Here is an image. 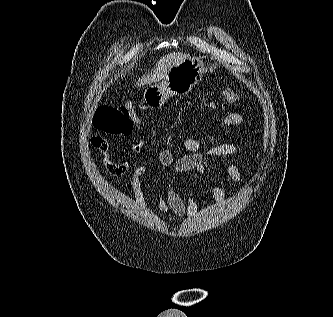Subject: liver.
<instances>
[{
  "label": "liver",
  "instance_id": "6515ba94",
  "mask_svg": "<svg viewBox=\"0 0 333 317\" xmlns=\"http://www.w3.org/2000/svg\"><path fill=\"white\" fill-rule=\"evenodd\" d=\"M189 58V55L182 52H172L165 55L157 62V66L153 73L145 76L137 82V86H141L147 83H152L161 80L166 77L169 70L181 61Z\"/></svg>",
  "mask_w": 333,
  "mask_h": 317
}]
</instances>
